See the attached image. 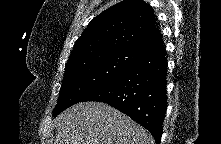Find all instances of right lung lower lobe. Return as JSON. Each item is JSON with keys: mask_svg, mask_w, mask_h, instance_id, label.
I'll return each mask as SVG.
<instances>
[{"mask_svg": "<svg viewBox=\"0 0 221 144\" xmlns=\"http://www.w3.org/2000/svg\"><path fill=\"white\" fill-rule=\"evenodd\" d=\"M164 43L83 101L107 103L146 128L160 144L167 109Z\"/></svg>", "mask_w": 221, "mask_h": 144, "instance_id": "1", "label": "right lung lower lobe"}]
</instances>
